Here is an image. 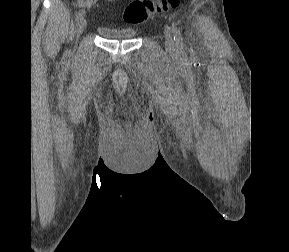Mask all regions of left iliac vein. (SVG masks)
Here are the masks:
<instances>
[{"label":"left iliac vein","mask_w":289,"mask_h":252,"mask_svg":"<svg viewBox=\"0 0 289 252\" xmlns=\"http://www.w3.org/2000/svg\"><path fill=\"white\" fill-rule=\"evenodd\" d=\"M165 44H166V48L169 52L175 51L174 41L168 32H166V34H165Z\"/></svg>","instance_id":"left-iliac-vein-1"}]
</instances>
